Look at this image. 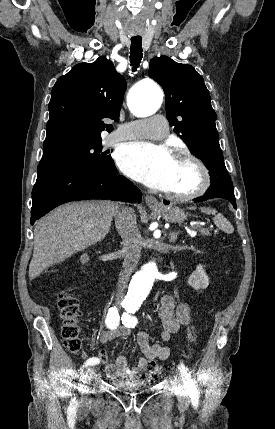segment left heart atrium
<instances>
[{"mask_svg": "<svg viewBox=\"0 0 275 429\" xmlns=\"http://www.w3.org/2000/svg\"><path fill=\"white\" fill-rule=\"evenodd\" d=\"M117 162L129 177L151 188L166 191L175 158L165 146L134 142L119 151Z\"/></svg>", "mask_w": 275, "mask_h": 429, "instance_id": "39dd6f15", "label": "left heart atrium"}]
</instances>
